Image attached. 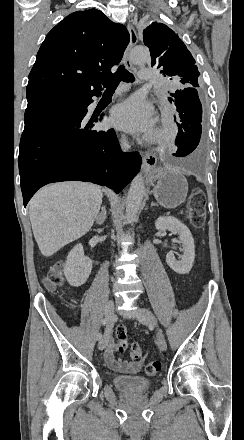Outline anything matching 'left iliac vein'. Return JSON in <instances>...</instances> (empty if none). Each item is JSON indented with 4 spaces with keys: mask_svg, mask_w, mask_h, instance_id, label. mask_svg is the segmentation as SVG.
<instances>
[{
    "mask_svg": "<svg viewBox=\"0 0 244 440\" xmlns=\"http://www.w3.org/2000/svg\"><path fill=\"white\" fill-rule=\"evenodd\" d=\"M135 316L140 323L153 326L157 329V346L160 351H165L167 349V343L161 329L157 324L154 314L150 310L141 307L137 310Z\"/></svg>",
    "mask_w": 244,
    "mask_h": 440,
    "instance_id": "1",
    "label": "left iliac vein"
}]
</instances>
